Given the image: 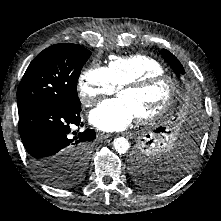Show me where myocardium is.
Segmentation results:
<instances>
[{"mask_svg": "<svg viewBox=\"0 0 221 221\" xmlns=\"http://www.w3.org/2000/svg\"><path fill=\"white\" fill-rule=\"evenodd\" d=\"M160 81H166L170 85V95L167 100V102L156 112L142 116V117H137L136 121L139 124H150L154 123L160 119H162L173 107V105L176 102V98L178 95V90H179V83L174 78L173 76L167 74V73H161V74H151L144 76L138 80L131 81L128 83H125L119 88V92L123 90H133V91H140L143 90L155 83H158Z\"/></svg>", "mask_w": 221, "mask_h": 221, "instance_id": "1", "label": "myocardium"}]
</instances>
